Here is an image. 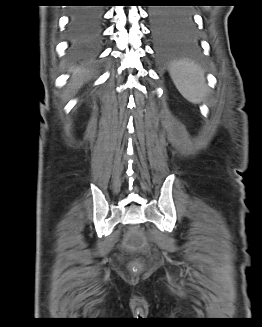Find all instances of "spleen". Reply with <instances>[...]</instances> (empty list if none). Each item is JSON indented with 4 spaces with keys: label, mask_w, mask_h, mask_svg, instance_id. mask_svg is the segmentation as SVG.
I'll list each match as a JSON object with an SVG mask.
<instances>
[{
    "label": "spleen",
    "mask_w": 262,
    "mask_h": 327,
    "mask_svg": "<svg viewBox=\"0 0 262 327\" xmlns=\"http://www.w3.org/2000/svg\"><path fill=\"white\" fill-rule=\"evenodd\" d=\"M170 76L181 95L192 103H199L207 93L202 69L188 61H178L170 68Z\"/></svg>",
    "instance_id": "3e777b00"
}]
</instances>
